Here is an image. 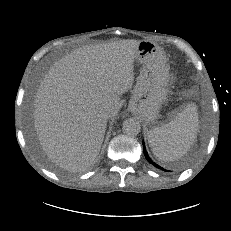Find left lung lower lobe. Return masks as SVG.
Listing matches in <instances>:
<instances>
[{
    "mask_svg": "<svg viewBox=\"0 0 231 231\" xmlns=\"http://www.w3.org/2000/svg\"><path fill=\"white\" fill-rule=\"evenodd\" d=\"M143 149H144V155H145L147 161H148L150 164H152L154 167H156V168H158V169H160V170L169 172L168 170H165V169H163L162 167H160L159 165H157L156 163H154V162L149 158V156H148V154H147V152H146L144 143H143Z\"/></svg>",
    "mask_w": 231,
    "mask_h": 231,
    "instance_id": "1",
    "label": "left lung lower lobe"
}]
</instances>
